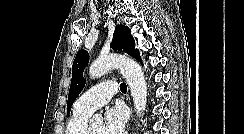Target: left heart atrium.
Masks as SVG:
<instances>
[{
    "mask_svg": "<svg viewBox=\"0 0 244 134\" xmlns=\"http://www.w3.org/2000/svg\"><path fill=\"white\" fill-rule=\"evenodd\" d=\"M127 113L122 106H114L106 111L103 134H125Z\"/></svg>",
    "mask_w": 244,
    "mask_h": 134,
    "instance_id": "left-heart-atrium-1",
    "label": "left heart atrium"
}]
</instances>
